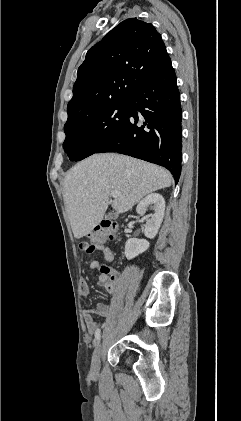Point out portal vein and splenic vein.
<instances>
[{"mask_svg":"<svg viewBox=\"0 0 241 421\" xmlns=\"http://www.w3.org/2000/svg\"><path fill=\"white\" fill-rule=\"evenodd\" d=\"M110 196L113 197V198H117L119 196V192L113 191V192L110 193Z\"/></svg>","mask_w":241,"mask_h":421,"instance_id":"18ae733b","label":"portal vein and splenic vein"}]
</instances>
